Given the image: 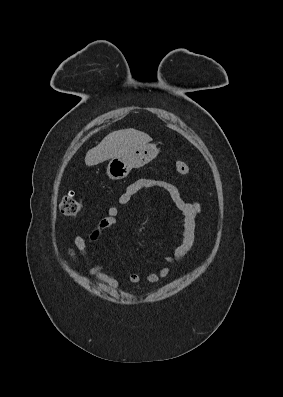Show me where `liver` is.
Listing matches in <instances>:
<instances>
[{"label":"liver","instance_id":"liver-1","mask_svg":"<svg viewBox=\"0 0 283 397\" xmlns=\"http://www.w3.org/2000/svg\"><path fill=\"white\" fill-rule=\"evenodd\" d=\"M151 140L148 134L135 129L111 132L96 147L87 152L85 164L94 166L109 159L125 157Z\"/></svg>","mask_w":283,"mask_h":397}]
</instances>
